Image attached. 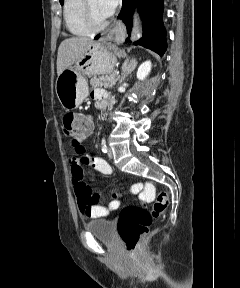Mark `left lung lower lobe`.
Listing matches in <instances>:
<instances>
[{"label":"left lung lower lobe","instance_id":"1","mask_svg":"<svg viewBox=\"0 0 240 288\" xmlns=\"http://www.w3.org/2000/svg\"><path fill=\"white\" fill-rule=\"evenodd\" d=\"M133 4L134 0H123L122 9L118 15V18L126 24L128 32L131 31ZM137 4L143 21V36L134 44L163 55L167 49L166 30L162 20L163 0H137ZM126 41L129 40L126 39Z\"/></svg>","mask_w":240,"mask_h":288}]
</instances>
